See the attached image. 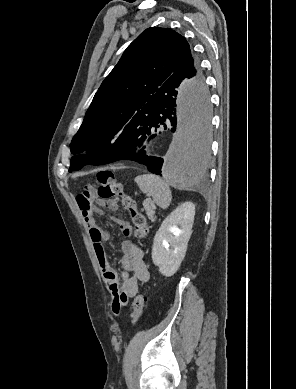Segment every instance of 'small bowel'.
Listing matches in <instances>:
<instances>
[{
    "label": "small bowel",
    "instance_id": "obj_1",
    "mask_svg": "<svg viewBox=\"0 0 296 389\" xmlns=\"http://www.w3.org/2000/svg\"><path fill=\"white\" fill-rule=\"evenodd\" d=\"M77 204L88 228L100 270L112 296L113 311L117 313L137 294L139 283H147L150 279L149 271L144 262V253L131 240H123L121 243L122 256L119 260L123 271L118 274L110 266L104 249V242L109 239V234L97 226L94 217L95 213L98 212L95 204L111 209H116L117 206H112L97 198L94 190L79 194ZM112 221L119 226L124 237L131 236L132 227L127 221L117 218H112Z\"/></svg>",
    "mask_w": 296,
    "mask_h": 389
}]
</instances>
